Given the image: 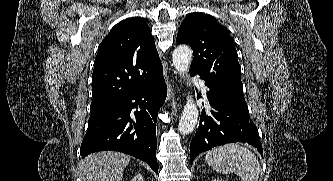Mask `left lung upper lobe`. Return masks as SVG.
I'll return each mask as SVG.
<instances>
[{
    "label": "left lung upper lobe",
    "instance_id": "left-lung-upper-lobe-1",
    "mask_svg": "<svg viewBox=\"0 0 333 181\" xmlns=\"http://www.w3.org/2000/svg\"><path fill=\"white\" fill-rule=\"evenodd\" d=\"M176 42L190 45L194 52L190 66L192 75H199L235 101L246 104L234 40L214 17L198 12L188 14Z\"/></svg>",
    "mask_w": 333,
    "mask_h": 181
}]
</instances>
